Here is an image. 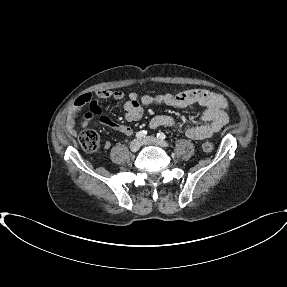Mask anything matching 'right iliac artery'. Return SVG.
<instances>
[{
  "label": "right iliac artery",
  "mask_w": 287,
  "mask_h": 287,
  "mask_svg": "<svg viewBox=\"0 0 287 287\" xmlns=\"http://www.w3.org/2000/svg\"><path fill=\"white\" fill-rule=\"evenodd\" d=\"M146 135H147V131H144V130L136 133V137L138 139H141V138L145 137Z\"/></svg>",
  "instance_id": "right-iliac-artery-1"
}]
</instances>
